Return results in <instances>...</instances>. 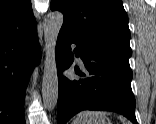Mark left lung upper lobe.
Listing matches in <instances>:
<instances>
[{
    "label": "left lung upper lobe",
    "mask_w": 156,
    "mask_h": 124,
    "mask_svg": "<svg viewBox=\"0 0 156 124\" xmlns=\"http://www.w3.org/2000/svg\"><path fill=\"white\" fill-rule=\"evenodd\" d=\"M50 8L63 13L61 29L81 43L126 59L132 55L128 16L121 0H52Z\"/></svg>",
    "instance_id": "5c2ea615"
}]
</instances>
